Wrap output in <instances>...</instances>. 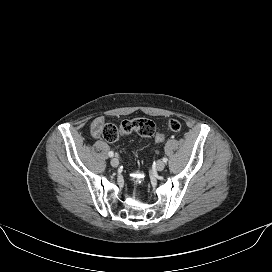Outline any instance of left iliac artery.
Here are the masks:
<instances>
[{
    "mask_svg": "<svg viewBox=\"0 0 272 272\" xmlns=\"http://www.w3.org/2000/svg\"><path fill=\"white\" fill-rule=\"evenodd\" d=\"M162 160H163V162H165V163L168 161V159H167L166 157H163Z\"/></svg>",
    "mask_w": 272,
    "mask_h": 272,
    "instance_id": "44dca946",
    "label": "left iliac artery"
}]
</instances>
